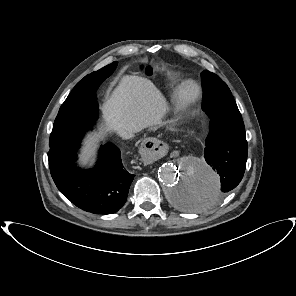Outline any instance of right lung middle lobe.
Returning <instances> with one entry per match:
<instances>
[{
  "mask_svg": "<svg viewBox=\"0 0 296 296\" xmlns=\"http://www.w3.org/2000/svg\"><path fill=\"white\" fill-rule=\"evenodd\" d=\"M117 66L113 62L85 76L62 104L50 135L49 146H59L81 139L84 131L97 120L98 105L95 92Z\"/></svg>",
  "mask_w": 296,
  "mask_h": 296,
  "instance_id": "right-lung-middle-lobe-1",
  "label": "right lung middle lobe"
}]
</instances>
